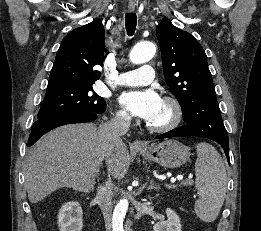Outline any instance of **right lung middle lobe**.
I'll list each match as a JSON object with an SVG mask.
<instances>
[{
  "mask_svg": "<svg viewBox=\"0 0 261 231\" xmlns=\"http://www.w3.org/2000/svg\"><path fill=\"white\" fill-rule=\"evenodd\" d=\"M106 102L98 96L92 85L47 88L37 115L38 120L78 111H104Z\"/></svg>",
  "mask_w": 261,
  "mask_h": 231,
  "instance_id": "obj_1",
  "label": "right lung middle lobe"
}]
</instances>
